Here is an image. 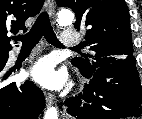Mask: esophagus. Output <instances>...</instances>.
Instances as JSON below:
<instances>
[{
    "label": "esophagus",
    "mask_w": 142,
    "mask_h": 119,
    "mask_svg": "<svg viewBox=\"0 0 142 119\" xmlns=\"http://www.w3.org/2000/svg\"><path fill=\"white\" fill-rule=\"evenodd\" d=\"M45 6H46L48 13L50 15H52L54 13V1L53 0H46ZM44 95H45V99H46L47 104H49V105L52 104L53 100H54V95L52 93H49L46 91L44 92Z\"/></svg>",
    "instance_id": "1"
}]
</instances>
